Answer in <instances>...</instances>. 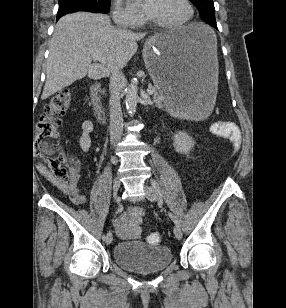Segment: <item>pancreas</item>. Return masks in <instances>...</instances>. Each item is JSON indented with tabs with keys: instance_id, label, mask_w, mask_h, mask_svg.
Instances as JSON below:
<instances>
[{
	"instance_id": "cf45deb5",
	"label": "pancreas",
	"mask_w": 286,
	"mask_h": 308,
	"mask_svg": "<svg viewBox=\"0 0 286 308\" xmlns=\"http://www.w3.org/2000/svg\"><path fill=\"white\" fill-rule=\"evenodd\" d=\"M153 89L155 90V92L153 93V99L156 102V104L158 106H165V104H163V97L158 91V89L156 87H153ZM167 106L171 107L170 105H167Z\"/></svg>"
}]
</instances>
